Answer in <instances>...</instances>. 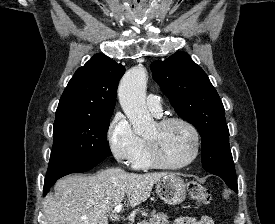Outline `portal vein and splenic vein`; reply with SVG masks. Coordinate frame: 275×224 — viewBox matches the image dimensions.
Returning <instances> with one entry per match:
<instances>
[{
	"label": "portal vein and splenic vein",
	"instance_id": "obj_1",
	"mask_svg": "<svg viewBox=\"0 0 275 224\" xmlns=\"http://www.w3.org/2000/svg\"><path fill=\"white\" fill-rule=\"evenodd\" d=\"M121 210H122V205L119 204V205H117V206L114 207L113 213L118 214V213L121 212ZM82 219H86V218L83 217ZM138 224H139V223H138Z\"/></svg>",
	"mask_w": 275,
	"mask_h": 224
}]
</instances>
